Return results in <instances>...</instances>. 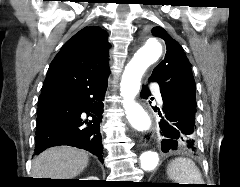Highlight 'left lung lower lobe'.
<instances>
[{"label":"left lung lower lobe","mask_w":240,"mask_h":187,"mask_svg":"<svg viewBox=\"0 0 240 187\" xmlns=\"http://www.w3.org/2000/svg\"><path fill=\"white\" fill-rule=\"evenodd\" d=\"M150 95L149 89L143 86L141 96L147 99ZM161 96L163 100L162 112L164 116L159 126L161 134L166 137V139H163L161 142L162 151L166 153L170 150L183 148L190 152H196V107L165 92H161ZM153 109L155 112L159 110L157 107H153ZM158 114L162 116L160 111H158Z\"/></svg>","instance_id":"left-lung-lower-lobe-1"}]
</instances>
